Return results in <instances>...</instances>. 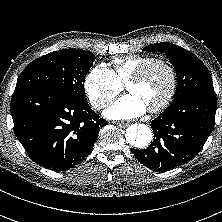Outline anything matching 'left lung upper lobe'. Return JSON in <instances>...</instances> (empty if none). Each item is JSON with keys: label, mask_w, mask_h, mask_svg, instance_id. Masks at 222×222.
<instances>
[{"label": "left lung upper lobe", "mask_w": 222, "mask_h": 222, "mask_svg": "<svg viewBox=\"0 0 222 222\" xmlns=\"http://www.w3.org/2000/svg\"><path fill=\"white\" fill-rule=\"evenodd\" d=\"M144 50L164 52L175 68L177 88L174 99L169 106L193 96L216 99L210 73L196 55L168 42L151 44L146 46Z\"/></svg>", "instance_id": "5c2ea615"}]
</instances>
